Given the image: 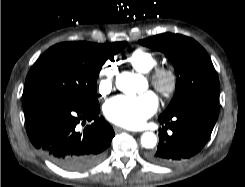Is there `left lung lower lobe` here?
Wrapping results in <instances>:
<instances>
[{
  "label": "left lung lower lobe",
  "instance_id": "0a47b994",
  "mask_svg": "<svg viewBox=\"0 0 245 187\" xmlns=\"http://www.w3.org/2000/svg\"><path fill=\"white\" fill-rule=\"evenodd\" d=\"M218 101H206L189 106L171 116H159L158 120L173 133L159 131L157 151L151 161L171 165L198 153L208 141L218 118Z\"/></svg>",
  "mask_w": 245,
  "mask_h": 187
}]
</instances>
